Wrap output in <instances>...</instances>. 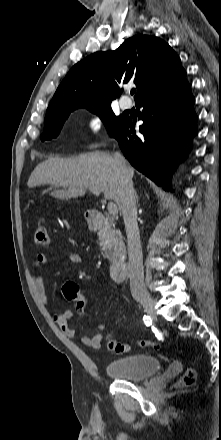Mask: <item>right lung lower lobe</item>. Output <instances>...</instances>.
<instances>
[{"mask_svg":"<svg viewBox=\"0 0 221 440\" xmlns=\"http://www.w3.org/2000/svg\"><path fill=\"white\" fill-rule=\"evenodd\" d=\"M195 99L186 79L178 84L136 102L143 107V120L135 134L131 118H125L112 137L116 138L124 156L138 171L158 185L169 189V176L186 158L197 133Z\"/></svg>","mask_w":221,"mask_h":440,"instance_id":"1","label":"right lung lower lobe"}]
</instances>
